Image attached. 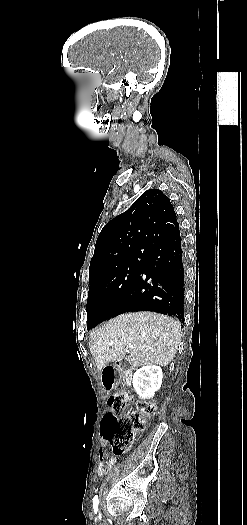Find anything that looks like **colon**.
Wrapping results in <instances>:
<instances>
[{"mask_svg":"<svg viewBox=\"0 0 247 525\" xmlns=\"http://www.w3.org/2000/svg\"><path fill=\"white\" fill-rule=\"evenodd\" d=\"M130 394L118 391L109 398L110 411L103 418L99 436L111 445L116 456H122L132 445L135 432L143 428L145 419L155 412V404L140 402L129 408Z\"/></svg>","mask_w":247,"mask_h":525,"instance_id":"obj_1","label":"colon"}]
</instances>
